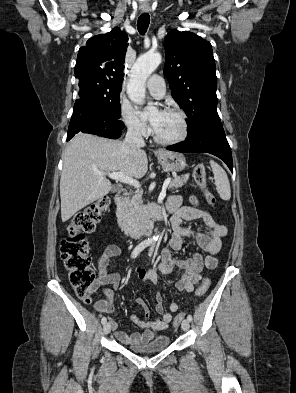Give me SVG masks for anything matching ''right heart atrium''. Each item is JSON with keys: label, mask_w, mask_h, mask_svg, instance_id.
I'll list each match as a JSON object with an SVG mask.
<instances>
[{"label": "right heart atrium", "mask_w": 296, "mask_h": 393, "mask_svg": "<svg viewBox=\"0 0 296 393\" xmlns=\"http://www.w3.org/2000/svg\"><path fill=\"white\" fill-rule=\"evenodd\" d=\"M120 117L128 131L137 137H146L150 133L148 123L128 104H120Z\"/></svg>", "instance_id": "right-heart-atrium-1"}]
</instances>
